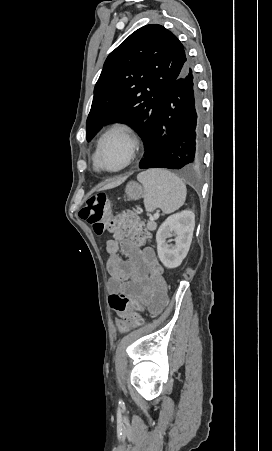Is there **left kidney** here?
I'll return each instance as SVG.
<instances>
[{"label": "left kidney", "instance_id": "1", "mask_svg": "<svg viewBox=\"0 0 272 451\" xmlns=\"http://www.w3.org/2000/svg\"><path fill=\"white\" fill-rule=\"evenodd\" d=\"M195 214L184 210L169 216L156 233L157 251L165 267H178L186 257L193 237ZM175 237V245L167 243V237Z\"/></svg>", "mask_w": 272, "mask_h": 451}]
</instances>
